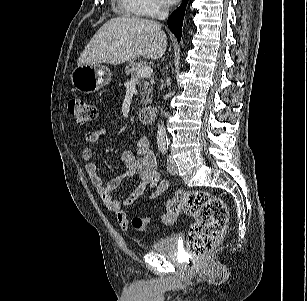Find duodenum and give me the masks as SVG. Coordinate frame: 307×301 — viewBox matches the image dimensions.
<instances>
[{
    "instance_id": "410a0bca",
    "label": "duodenum",
    "mask_w": 307,
    "mask_h": 301,
    "mask_svg": "<svg viewBox=\"0 0 307 301\" xmlns=\"http://www.w3.org/2000/svg\"><path fill=\"white\" fill-rule=\"evenodd\" d=\"M155 115V107H145L138 112V120L141 124L150 125L154 122Z\"/></svg>"
}]
</instances>
